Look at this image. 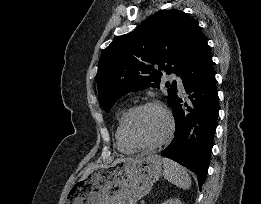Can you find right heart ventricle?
Here are the masks:
<instances>
[{"instance_id": "e07e8e85", "label": "right heart ventricle", "mask_w": 261, "mask_h": 204, "mask_svg": "<svg viewBox=\"0 0 261 204\" xmlns=\"http://www.w3.org/2000/svg\"><path fill=\"white\" fill-rule=\"evenodd\" d=\"M128 110L127 109H124L118 119H117V122H116V127H115V132H114V137H115V143H116V146H117V149L124 153V154H131L133 153L135 150L133 148H131L130 146H128L125 141L123 140L122 138V135H121V129H120V126H121V121L125 115V113L127 112Z\"/></svg>"}]
</instances>
